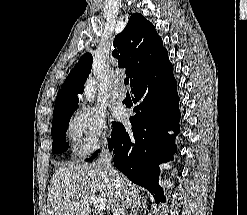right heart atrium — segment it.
I'll return each mask as SVG.
<instances>
[{
  "mask_svg": "<svg viewBox=\"0 0 247 215\" xmlns=\"http://www.w3.org/2000/svg\"><path fill=\"white\" fill-rule=\"evenodd\" d=\"M79 155L86 156L106 143L111 136L105 114L93 107L82 106L75 111L68 124Z\"/></svg>",
  "mask_w": 247,
  "mask_h": 215,
  "instance_id": "right-heart-atrium-1",
  "label": "right heart atrium"
}]
</instances>
